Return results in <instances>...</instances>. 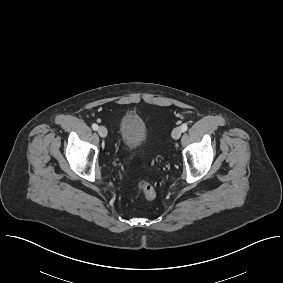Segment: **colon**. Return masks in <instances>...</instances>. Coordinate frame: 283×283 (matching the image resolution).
Wrapping results in <instances>:
<instances>
[{
  "mask_svg": "<svg viewBox=\"0 0 283 283\" xmlns=\"http://www.w3.org/2000/svg\"><path fill=\"white\" fill-rule=\"evenodd\" d=\"M137 188L147 200H153L156 197L154 186L146 179H141L137 184Z\"/></svg>",
  "mask_w": 283,
  "mask_h": 283,
  "instance_id": "obj_1",
  "label": "colon"
}]
</instances>
